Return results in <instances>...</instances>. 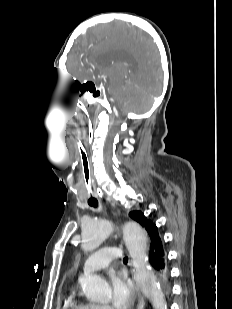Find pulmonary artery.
<instances>
[{"mask_svg":"<svg viewBox=\"0 0 232 309\" xmlns=\"http://www.w3.org/2000/svg\"><path fill=\"white\" fill-rule=\"evenodd\" d=\"M122 258L119 248L109 246L90 255L83 264L85 272H93L104 268L111 260Z\"/></svg>","mask_w":232,"mask_h":309,"instance_id":"obj_1","label":"pulmonary artery"}]
</instances>
